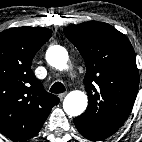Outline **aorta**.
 Instances as JSON below:
<instances>
[{
    "mask_svg": "<svg viewBox=\"0 0 142 142\" xmlns=\"http://www.w3.org/2000/svg\"><path fill=\"white\" fill-rule=\"evenodd\" d=\"M46 60L49 65L62 71L68 68V52L60 45H52L46 51ZM88 98L82 91H72L64 99L63 109L72 116L81 115L87 108Z\"/></svg>",
    "mask_w": 142,
    "mask_h": 142,
    "instance_id": "aorta-1",
    "label": "aorta"
}]
</instances>
